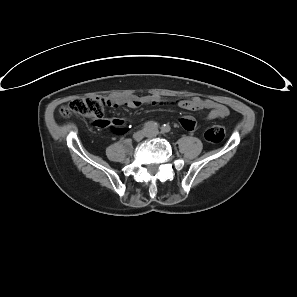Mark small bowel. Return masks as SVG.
Listing matches in <instances>:
<instances>
[{"instance_id": "c3829d8e", "label": "small bowel", "mask_w": 297, "mask_h": 297, "mask_svg": "<svg viewBox=\"0 0 297 297\" xmlns=\"http://www.w3.org/2000/svg\"><path fill=\"white\" fill-rule=\"evenodd\" d=\"M162 102L163 100L159 96H129L106 99V104L112 108L120 106L139 108L147 104L160 105ZM177 105L189 111L208 109L210 112L207 115V120L224 119L229 115V109L225 105L209 99H201L198 97L181 99L177 102ZM179 122L186 130H192L196 125L195 120L190 116L181 118ZM125 125L126 121L123 119H90L88 121L90 128H100L101 130H109L111 127H122Z\"/></svg>"}]
</instances>
